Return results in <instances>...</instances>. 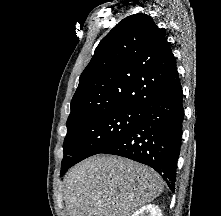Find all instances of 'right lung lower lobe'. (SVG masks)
Here are the masks:
<instances>
[{
  "label": "right lung lower lobe",
  "instance_id": "98d812e1",
  "mask_svg": "<svg viewBox=\"0 0 221 216\" xmlns=\"http://www.w3.org/2000/svg\"><path fill=\"white\" fill-rule=\"evenodd\" d=\"M182 98L177 77L140 108L134 128L102 153L126 157L152 167L174 192L184 118Z\"/></svg>",
  "mask_w": 221,
  "mask_h": 216
}]
</instances>
